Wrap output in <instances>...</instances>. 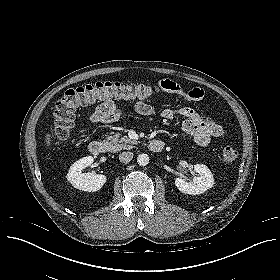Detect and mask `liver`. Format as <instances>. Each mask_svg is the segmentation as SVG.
<instances>
[{"label":"liver","instance_id":"6515ba94","mask_svg":"<svg viewBox=\"0 0 280 280\" xmlns=\"http://www.w3.org/2000/svg\"><path fill=\"white\" fill-rule=\"evenodd\" d=\"M50 137H51L50 134H47V135H46V140H45V141H46V145H47V146H50V143H51V142H50V141H51V140H50Z\"/></svg>","mask_w":280,"mask_h":280}]
</instances>
